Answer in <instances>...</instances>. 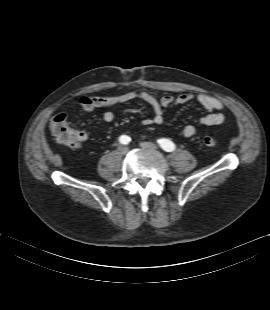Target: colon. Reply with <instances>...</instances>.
Instances as JSON below:
<instances>
[{"label":"colon","instance_id":"5ec220e1","mask_svg":"<svg viewBox=\"0 0 270 310\" xmlns=\"http://www.w3.org/2000/svg\"><path fill=\"white\" fill-rule=\"evenodd\" d=\"M50 131L55 140L71 147H79V134L74 130L68 121V117L65 113H59L55 115L49 124ZM202 143L206 147H215L218 144L216 137L207 135L202 139Z\"/></svg>","mask_w":270,"mask_h":310}]
</instances>
